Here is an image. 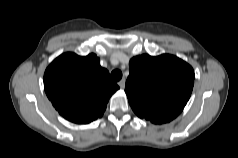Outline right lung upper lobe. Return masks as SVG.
I'll use <instances>...</instances> for the list:
<instances>
[{"mask_svg": "<svg viewBox=\"0 0 238 158\" xmlns=\"http://www.w3.org/2000/svg\"><path fill=\"white\" fill-rule=\"evenodd\" d=\"M44 89L53 106L65 119L90 123L102 117L109 98L119 89L95 54L64 53L46 69Z\"/></svg>", "mask_w": 238, "mask_h": 158, "instance_id": "right-lung-upper-lobe-1", "label": "right lung upper lobe"}]
</instances>
